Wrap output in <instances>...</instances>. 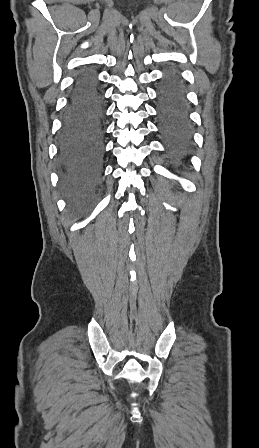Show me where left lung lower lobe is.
<instances>
[{"label":"left lung lower lobe","mask_w":259,"mask_h":448,"mask_svg":"<svg viewBox=\"0 0 259 448\" xmlns=\"http://www.w3.org/2000/svg\"><path fill=\"white\" fill-rule=\"evenodd\" d=\"M157 112L170 159L176 164L186 162L192 142L191 121L185 92L175 73H170L159 88Z\"/></svg>","instance_id":"1"}]
</instances>
